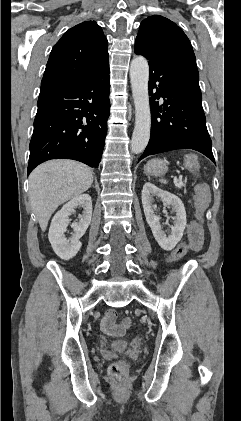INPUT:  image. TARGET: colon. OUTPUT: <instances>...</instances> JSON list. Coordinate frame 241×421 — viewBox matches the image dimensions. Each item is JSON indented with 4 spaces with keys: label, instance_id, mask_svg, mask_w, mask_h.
Wrapping results in <instances>:
<instances>
[{
    "label": "colon",
    "instance_id": "1",
    "mask_svg": "<svg viewBox=\"0 0 241 421\" xmlns=\"http://www.w3.org/2000/svg\"><path fill=\"white\" fill-rule=\"evenodd\" d=\"M187 166L191 170L198 169L197 158L193 155L187 158ZM210 202V189L205 183L197 186L196 197H195V217L198 220H202L205 210L207 209ZM188 244L185 242L180 243L171 253L169 262H175L180 260L188 251ZM121 324L125 327L130 326L131 320L129 317H123ZM125 372V364L122 361L113 363L110 366V373L115 378H121Z\"/></svg>",
    "mask_w": 241,
    "mask_h": 421
}]
</instances>
